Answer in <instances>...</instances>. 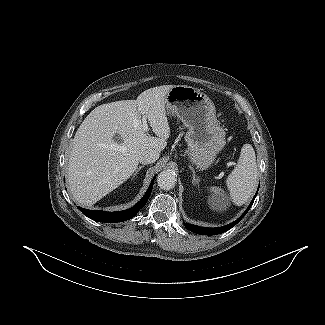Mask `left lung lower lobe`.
<instances>
[{
	"mask_svg": "<svg viewBox=\"0 0 325 325\" xmlns=\"http://www.w3.org/2000/svg\"><path fill=\"white\" fill-rule=\"evenodd\" d=\"M257 192H256V194H257ZM256 194H255L253 200L251 201L250 205L246 209V211L237 220H235L234 222H232L226 226L218 227V228H207V227H199V226H195V225H190L188 223H184V224L188 230H190L194 233H197V234H201V235H216V234L224 233V232L230 230L232 227H234L247 214V212L249 211L250 207L252 206V204L255 200Z\"/></svg>",
	"mask_w": 325,
	"mask_h": 325,
	"instance_id": "1",
	"label": "left lung lower lobe"
}]
</instances>
